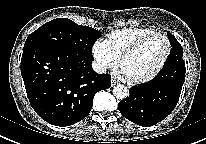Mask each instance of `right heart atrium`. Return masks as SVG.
<instances>
[{"instance_id": "d8ad5b80", "label": "right heart atrium", "mask_w": 206, "mask_h": 144, "mask_svg": "<svg viewBox=\"0 0 206 144\" xmlns=\"http://www.w3.org/2000/svg\"><path fill=\"white\" fill-rule=\"evenodd\" d=\"M92 55L101 71L113 69L117 65L118 59L107 47L105 41L97 40L92 45Z\"/></svg>"}]
</instances>
